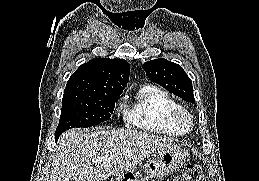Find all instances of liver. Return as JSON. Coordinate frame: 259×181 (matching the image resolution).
Returning a JSON list of instances; mask_svg holds the SVG:
<instances>
[{
  "instance_id": "liver-1",
  "label": "liver",
  "mask_w": 259,
  "mask_h": 181,
  "mask_svg": "<svg viewBox=\"0 0 259 181\" xmlns=\"http://www.w3.org/2000/svg\"><path fill=\"white\" fill-rule=\"evenodd\" d=\"M171 145L169 139L133 130L71 129L58 140L50 181H103Z\"/></svg>"
}]
</instances>
